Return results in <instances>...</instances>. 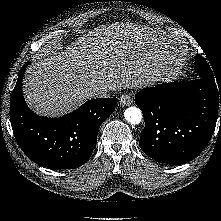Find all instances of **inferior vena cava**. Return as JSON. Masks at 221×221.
<instances>
[{
	"mask_svg": "<svg viewBox=\"0 0 221 221\" xmlns=\"http://www.w3.org/2000/svg\"><path fill=\"white\" fill-rule=\"evenodd\" d=\"M92 98H105L109 97L108 90L105 88H96L89 93Z\"/></svg>",
	"mask_w": 221,
	"mask_h": 221,
	"instance_id": "602c4592",
	"label": "inferior vena cava"
}]
</instances>
